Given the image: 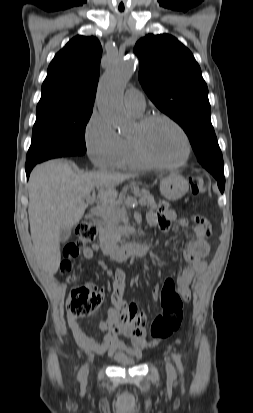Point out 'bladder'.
<instances>
[{
	"mask_svg": "<svg viewBox=\"0 0 253 413\" xmlns=\"http://www.w3.org/2000/svg\"><path fill=\"white\" fill-rule=\"evenodd\" d=\"M113 360L121 366H133L136 364V360L134 358L125 356V355H118L113 358Z\"/></svg>",
	"mask_w": 253,
	"mask_h": 413,
	"instance_id": "obj_1",
	"label": "bladder"
}]
</instances>
